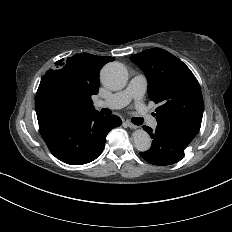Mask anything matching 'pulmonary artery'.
Returning a JSON list of instances; mask_svg holds the SVG:
<instances>
[{
  "instance_id": "pulmonary-artery-1",
  "label": "pulmonary artery",
  "mask_w": 232,
  "mask_h": 232,
  "mask_svg": "<svg viewBox=\"0 0 232 232\" xmlns=\"http://www.w3.org/2000/svg\"><path fill=\"white\" fill-rule=\"evenodd\" d=\"M146 89V79L140 73H135L130 78V87L125 89L119 94H109L104 100H95L94 105L96 108L105 105L109 109L126 108L133 104L136 112L145 121L146 124L151 125L154 123L155 118L153 114L146 109L143 102V95Z\"/></svg>"
}]
</instances>
